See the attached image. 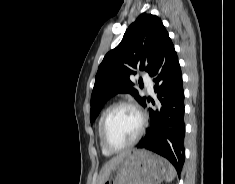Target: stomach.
<instances>
[{
	"label": "stomach",
	"mask_w": 235,
	"mask_h": 184,
	"mask_svg": "<svg viewBox=\"0 0 235 184\" xmlns=\"http://www.w3.org/2000/svg\"><path fill=\"white\" fill-rule=\"evenodd\" d=\"M168 162L147 150H131L112 166L103 184H160L165 180Z\"/></svg>",
	"instance_id": "obj_1"
}]
</instances>
